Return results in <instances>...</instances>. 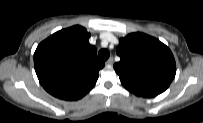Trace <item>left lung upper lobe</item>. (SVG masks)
<instances>
[{
	"label": "left lung upper lobe",
	"mask_w": 203,
	"mask_h": 123,
	"mask_svg": "<svg viewBox=\"0 0 203 123\" xmlns=\"http://www.w3.org/2000/svg\"><path fill=\"white\" fill-rule=\"evenodd\" d=\"M116 52L121 60L114 69L123 86L137 96H157L175 77L171 50L154 37L140 32L128 34L120 39Z\"/></svg>",
	"instance_id": "1"
}]
</instances>
